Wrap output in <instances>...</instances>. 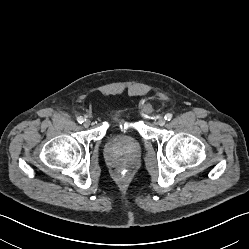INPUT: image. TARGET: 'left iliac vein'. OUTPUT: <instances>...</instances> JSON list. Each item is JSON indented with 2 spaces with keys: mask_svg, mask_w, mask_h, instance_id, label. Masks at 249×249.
Returning a JSON list of instances; mask_svg holds the SVG:
<instances>
[{
  "mask_svg": "<svg viewBox=\"0 0 249 249\" xmlns=\"http://www.w3.org/2000/svg\"><path fill=\"white\" fill-rule=\"evenodd\" d=\"M165 123H166V121H165V119H164L163 117L158 118L157 124H158L159 126H164Z\"/></svg>",
  "mask_w": 249,
  "mask_h": 249,
  "instance_id": "4c4485c4",
  "label": "left iliac vein"
}]
</instances>
